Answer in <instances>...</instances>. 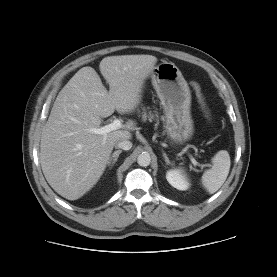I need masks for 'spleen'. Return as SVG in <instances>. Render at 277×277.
<instances>
[{
  "label": "spleen",
  "instance_id": "spleen-1",
  "mask_svg": "<svg viewBox=\"0 0 277 277\" xmlns=\"http://www.w3.org/2000/svg\"><path fill=\"white\" fill-rule=\"evenodd\" d=\"M212 163V168L202 176V184L210 194L218 191L227 179L231 165L229 153L226 150L218 151Z\"/></svg>",
  "mask_w": 277,
  "mask_h": 277
}]
</instances>
